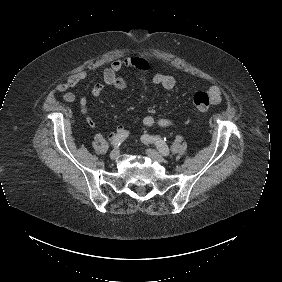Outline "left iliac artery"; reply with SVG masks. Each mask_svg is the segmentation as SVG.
I'll use <instances>...</instances> for the list:
<instances>
[{"instance_id": "left-iliac-artery-1", "label": "left iliac artery", "mask_w": 282, "mask_h": 282, "mask_svg": "<svg viewBox=\"0 0 282 282\" xmlns=\"http://www.w3.org/2000/svg\"><path fill=\"white\" fill-rule=\"evenodd\" d=\"M141 140L144 143H154L157 146V149L164 155L168 156L169 155V148L167 144L158 136H151L148 134H144L141 137Z\"/></svg>"}]
</instances>
